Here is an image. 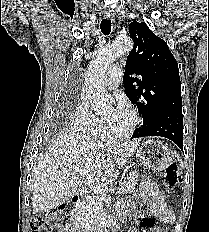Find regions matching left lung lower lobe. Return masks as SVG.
I'll list each match as a JSON object with an SVG mask.
<instances>
[{"label": "left lung lower lobe", "mask_w": 209, "mask_h": 232, "mask_svg": "<svg viewBox=\"0 0 209 232\" xmlns=\"http://www.w3.org/2000/svg\"><path fill=\"white\" fill-rule=\"evenodd\" d=\"M160 136L176 143L183 151V115L182 108L161 113L147 125L137 128L132 138Z\"/></svg>", "instance_id": "1"}]
</instances>
